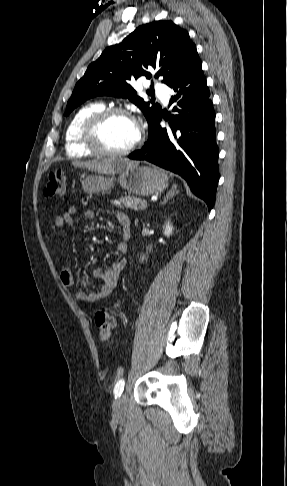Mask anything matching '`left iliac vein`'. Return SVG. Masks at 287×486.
Wrapping results in <instances>:
<instances>
[{
    "instance_id": "4c4485c4",
    "label": "left iliac vein",
    "mask_w": 287,
    "mask_h": 486,
    "mask_svg": "<svg viewBox=\"0 0 287 486\" xmlns=\"http://www.w3.org/2000/svg\"><path fill=\"white\" fill-rule=\"evenodd\" d=\"M113 410L117 418H123L126 415L127 399L124 393L114 401Z\"/></svg>"
}]
</instances>
